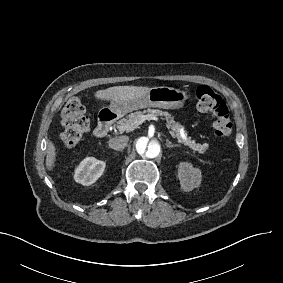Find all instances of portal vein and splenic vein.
<instances>
[{"label": "portal vein and splenic vein", "instance_id": "1", "mask_svg": "<svg viewBox=\"0 0 283 283\" xmlns=\"http://www.w3.org/2000/svg\"><path fill=\"white\" fill-rule=\"evenodd\" d=\"M145 119H150V120L159 121V118H158L157 116H154V115H151V114H149V115H144V116L142 117V120L139 121V122L134 126V128H132V130L136 129L137 126L140 125L141 123H143V121H144Z\"/></svg>", "mask_w": 283, "mask_h": 283}]
</instances>
